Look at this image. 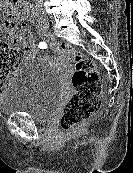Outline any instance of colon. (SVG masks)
Returning <instances> with one entry per match:
<instances>
[{
    "instance_id": "5ec220e1",
    "label": "colon",
    "mask_w": 133,
    "mask_h": 173,
    "mask_svg": "<svg viewBox=\"0 0 133 173\" xmlns=\"http://www.w3.org/2000/svg\"><path fill=\"white\" fill-rule=\"evenodd\" d=\"M0 31L3 37L0 40V92H2L19 60L17 51L11 47L9 41L23 35L27 28L24 24L17 23L13 15L8 13L0 19ZM52 46L55 51L73 61L71 75L73 93L60 116L61 128L64 131H71L97 112L101 104L102 85L93 60L83 56L68 44L54 43Z\"/></svg>"
}]
</instances>
